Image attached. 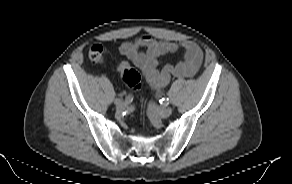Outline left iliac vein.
Wrapping results in <instances>:
<instances>
[{
	"label": "left iliac vein",
	"instance_id": "4c4485c4",
	"mask_svg": "<svg viewBox=\"0 0 292 184\" xmlns=\"http://www.w3.org/2000/svg\"><path fill=\"white\" fill-rule=\"evenodd\" d=\"M148 109L150 113L157 114L161 118H167L172 113L171 107L159 108L153 102L149 103Z\"/></svg>",
	"mask_w": 292,
	"mask_h": 184
}]
</instances>
